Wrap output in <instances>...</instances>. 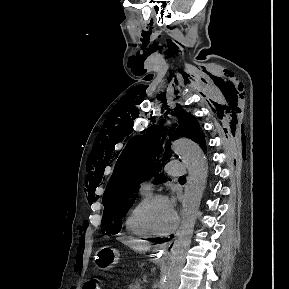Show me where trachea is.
<instances>
[{"label": "trachea", "instance_id": "3493384b", "mask_svg": "<svg viewBox=\"0 0 289 289\" xmlns=\"http://www.w3.org/2000/svg\"><path fill=\"white\" fill-rule=\"evenodd\" d=\"M180 179L181 180H185L186 178H185V176H181Z\"/></svg>", "mask_w": 289, "mask_h": 289}]
</instances>
